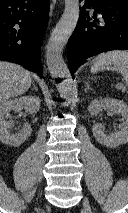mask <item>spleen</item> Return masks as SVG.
<instances>
[{"instance_id": "3e777b00", "label": "spleen", "mask_w": 128, "mask_h": 213, "mask_svg": "<svg viewBox=\"0 0 128 213\" xmlns=\"http://www.w3.org/2000/svg\"><path fill=\"white\" fill-rule=\"evenodd\" d=\"M103 70L120 73L128 85V51H110L98 55L93 60L91 73Z\"/></svg>"}]
</instances>
